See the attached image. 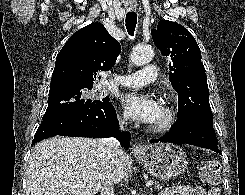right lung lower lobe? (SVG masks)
<instances>
[{
    "instance_id": "obj_1",
    "label": "right lung lower lobe",
    "mask_w": 245,
    "mask_h": 195,
    "mask_svg": "<svg viewBox=\"0 0 245 195\" xmlns=\"http://www.w3.org/2000/svg\"><path fill=\"white\" fill-rule=\"evenodd\" d=\"M56 135L104 138L115 136L124 148L129 147L130 134L118 131V120L109 101H101L90 108L73 110L44 120L32 141L35 143Z\"/></svg>"
}]
</instances>
